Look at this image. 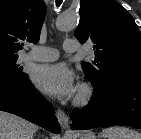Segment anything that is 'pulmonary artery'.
<instances>
[{"mask_svg":"<svg viewBox=\"0 0 141 139\" xmlns=\"http://www.w3.org/2000/svg\"><path fill=\"white\" fill-rule=\"evenodd\" d=\"M63 49L66 53H74L78 51L79 46L76 41L69 39L64 41ZM58 56L59 52L54 48L35 46L27 54V59L38 62H48L56 60Z\"/></svg>","mask_w":141,"mask_h":139,"instance_id":"1","label":"pulmonary artery"}]
</instances>
